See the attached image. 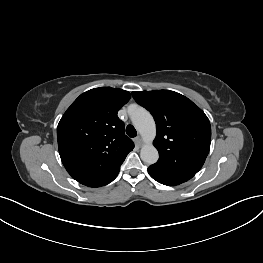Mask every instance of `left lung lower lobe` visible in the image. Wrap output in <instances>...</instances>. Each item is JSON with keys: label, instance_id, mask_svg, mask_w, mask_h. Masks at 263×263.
Segmentation results:
<instances>
[{"label": "left lung lower lobe", "instance_id": "0a47b994", "mask_svg": "<svg viewBox=\"0 0 263 263\" xmlns=\"http://www.w3.org/2000/svg\"><path fill=\"white\" fill-rule=\"evenodd\" d=\"M148 172L153 179H155L161 184L169 186L178 185L189 180L187 178L166 174L152 166H149Z\"/></svg>", "mask_w": 263, "mask_h": 263}]
</instances>
